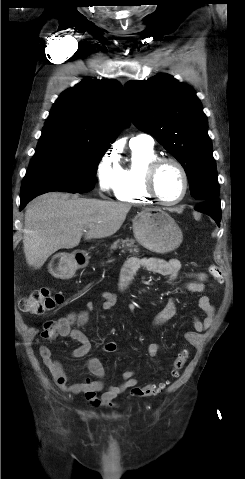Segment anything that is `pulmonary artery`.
<instances>
[{
    "mask_svg": "<svg viewBox=\"0 0 245 479\" xmlns=\"http://www.w3.org/2000/svg\"><path fill=\"white\" fill-rule=\"evenodd\" d=\"M131 144H140L147 147H153L154 139L148 134H138L131 138Z\"/></svg>",
    "mask_w": 245,
    "mask_h": 479,
    "instance_id": "e3ab8cb5",
    "label": "pulmonary artery"
}]
</instances>
